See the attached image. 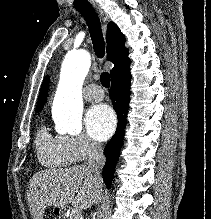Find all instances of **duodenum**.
<instances>
[{
	"label": "duodenum",
	"instance_id": "410a0bca",
	"mask_svg": "<svg viewBox=\"0 0 211 219\" xmlns=\"http://www.w3.org/2000/svg\"><path fill=\"white\" fill-rule=\"evenodd\" d=\"M57 212H58V214H60V215H63V214H64V212H63L62 210H58Z\"/></svg>",
	"mask_w": 211,
	"mask_h": 219
}]
</instances>
